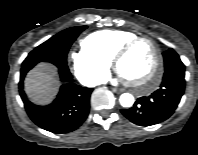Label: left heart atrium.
I'll use <instances>...</instances> for the list:
<instances>
[{
	"label": "left heart atrium",
	"instance_id": "left-heart-atrium-1",
	"mask_svg": "<svg viewBox=\"0 0 198 155\" xmlns=\"http://www.w3.org/2000/svg\"><path fill=\"white\" fill-rule=\"evenodd\" d=\"M119 76H120V78H122V79H125L123 76H121L120 74H119Z\"/></svg>",
	"mask_w": 198,
	"mask_h": 155
}]
</instances>
